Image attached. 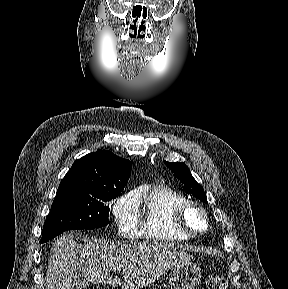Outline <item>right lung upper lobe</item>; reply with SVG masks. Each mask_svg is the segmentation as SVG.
Wrapping results in <instances>:
<instances>
[{
	"label": "right lung upper lobe",
	"mask_w": 288,
	"mask_h": 289,
	"mask_svg": "<svg viewBox=\"0 0 288 289\" xmlns=\"http://www.w3.org/2000/svg\"><path fill=\"white\" fill-rule=\"evenodd\" d=\"M131 162L107 150H98L76 160L57 192H122L131 173Z\"/></svg>",
	"instance_id": "cb5924a9"
}]
</instances>
